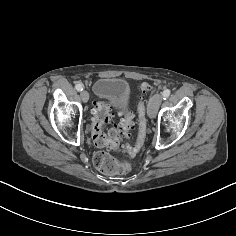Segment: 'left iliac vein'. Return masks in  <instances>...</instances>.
Here are the masks:
<instances>
[{"mask_svg": "<svg viewBox=\"0 0 236 236\" xmlns=\"http://www.w3.org/2000/svg\"><path fill=\"white\" fill-rule=\"evenodd\" d=\"M162 99L163 96L160 93H156L150 98L148 104V116L150 118L156 117Z\"/></svg>", "mask_w": 236, "mask_h": 236, "instance_id": "4c4485c4", "label": "left iliac vein"}]
</instances>
